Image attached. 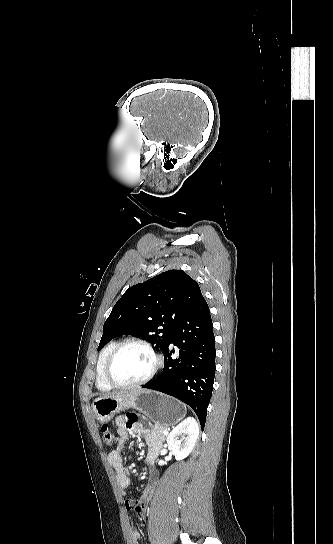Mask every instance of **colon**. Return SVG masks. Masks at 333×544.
Instances as JSON below:
<instances>
[{
  "label": "colon",
  "mask_w": 333,
  "mask_h": 544,
  "mask_svg": "<svg viewBox=\"0 0 333 544\" xmlns=\"http://www.w3.org/2000/svg\"><path fill=\"white\" fill-rule=\"evenodd\" d=\"M101 433H102V439L103 441L107 444V445H111L112 444V440H113V437H112V433L110 431V429L107 427V426H103L101 428Z\"/></svg>",
  "instance_id": "1"
}]
</instances>
